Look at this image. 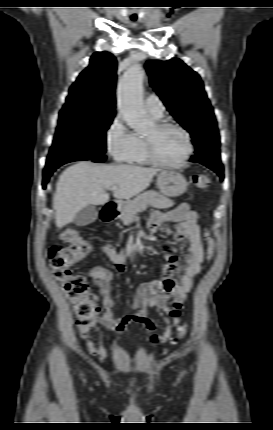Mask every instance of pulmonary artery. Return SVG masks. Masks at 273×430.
I'll list each match as a JSON object with an SVG mask.
<instances>
[{"label":"pulmonary artery","mask_w":273,"mask_h":430,"mask_svg":"<svg viewBox=\"0 0 273 430\" xmlns=\"http://www.w3.org/2000/svg\"><path fill=\"white\" fill-rule=\"evenodd\" d=\"M145 105L148 112L155 117L160 118L165 110L162 101L155 94H151L146 98Z\"/></svg>","instance_id":"e3ab8cb5"}]
</instances>
